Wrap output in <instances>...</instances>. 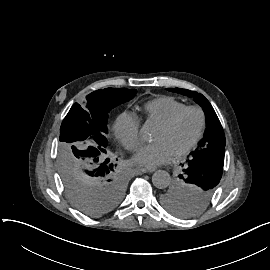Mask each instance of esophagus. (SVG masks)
Instances as JSON below:
<instances>
[{"instance_id":"esophagus-1","label":"esophagus","mask_w":270,"mask_h":270,"mask_svg":"<svg viewBox=\"0 0 270 270\" xmlns=\"http://www.w3.org/2000/svg\"><path fill=\"white\" fill-rule=\"evenodd\" d=\"M139 170H140L141 172H143V173H149V172L155 171V168L149 166V167H143V168H140Z\"/></svg>"}]
</instances>
